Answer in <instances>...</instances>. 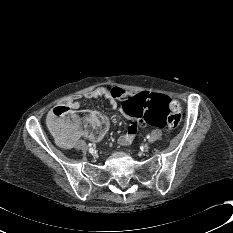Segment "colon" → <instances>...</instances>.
I'll return each instance as SVG.
<instances>
[{
	"label": "colon",
	"mask_w": 233,
	"mask_h": 233,
	"mask_svg": "<svg viewBox=\"0 0 233 233\" xmlns=\"http://www.w3.org/2000/svg\"><path fill=\"white\" fill-rule=\"evenodd\" d=\"M119 110L127 118H141V127L150 125L174 130L182 120L179 103L159 93L150 95L143 92L135 97H127L121 101ZM71 113V109L66 105H58L52 109L48 125L55 136L75 135L85 131L93 134L106 126L104 120L93 112H79L77 119L73 121L68 120Z\"/></svg>",
	"instance_id": "obj_1"
}]
</instances>
